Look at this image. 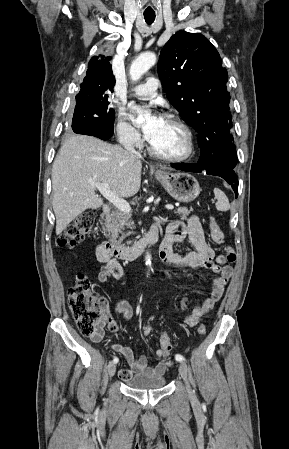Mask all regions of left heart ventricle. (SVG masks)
Masks as SVG:
<instances>
[{"mask_svg":"<svg viewBox=\"0 0 289 449\" xmlns=\"http://www.w3.org/2000/svg\"><path fill=\"white\" fill-rule=\"evenodd\" d=\"M149 142L157 152L164 155H181L187 148L183 132L172 123L163 119Z\"/></svg>","mask_w":289,"mask_h":449,"instance_id":"obj_1","label":"left heart ventricle"}]
</instances>
